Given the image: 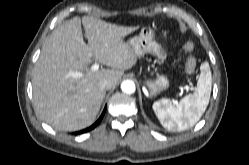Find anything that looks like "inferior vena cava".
<instances>
[{
	"mask_svg": "<svg viewBox=\"0 0 249 165\" xmlns=\"http://www.w3.org/2000/svg\"><path fill=\"white\" fill-rule=\"evenodd\" d=\"M100 87L104 90H109L112 88V83H111V81L105 79V80L101 81Z\"/></svg>",
	"mask_w": 249,
	"mask_h": 165,
	"instance_id": "602c4592",
	"label": "inferior vena cava"
}]
</instances>
